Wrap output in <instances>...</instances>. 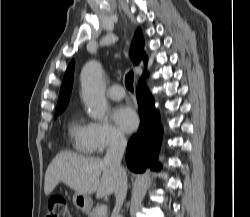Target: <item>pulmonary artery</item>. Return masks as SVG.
<instances>
[{
	"mask_svg": "<svg viewBox=\"0 0 250 217\" xmlns=\"http://www.w3.org/2000/svg\"><path fill=\"white\" fill-rule=\"evenodd\" d=\"M107 96L113 100H120L125 96V91L121 85L113 84L108 88Z\"/></svg>",
	"mask_w": 250,
	"mask_h": 217,
	"instance_id": "e3ab8cb5",
	"label": "pulmonary artery"
}]
</instances>
